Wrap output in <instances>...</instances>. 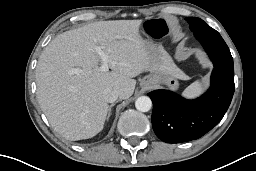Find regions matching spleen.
Listing matches in <instances>:
<instances>
[{
	"instance_id": "spleen-1",
	"label": "spleen",
	"mask_w": 256,
	"mask_h": 171,
	"mask_svg": "<svg viewBox=\"0 0 256 171\" xmlns=\"http://www.w3.org/2000/svg\"><path fill=\"white\" fill-rule=\"evenodd\" d=\"M202 87L203 83L201 81H195L184 90L183 95L187 97L196 96L201 92Z\"/></svg>"
}]
</instances>
